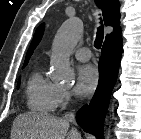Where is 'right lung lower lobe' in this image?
<instances>
[{"label":"right lung lower lobe","instance_id":"98d812e1","mask_svg":"<svg viewBox=\"0 0 141 139\" xmlns=\"http://www.w3.org/2000/svg\"><path fill=\"white\" fill-rule=\"evenodd\" d=\"M122 54V37L105 40L99 61V84L91 103L83 106L76 114L77 123L84 131L103 139V122L110 95L115 85Z\"/></svg>","mask_w":141,"mask_h":139}]
</instances>
